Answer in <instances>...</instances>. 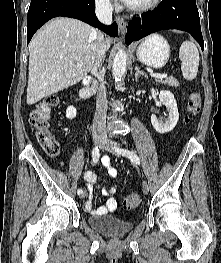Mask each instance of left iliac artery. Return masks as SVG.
I'll return each instance as SVG.
<instances>
[{
  "label": "left iliac artery",
  "instance_id": "1",
  "mask_svg": "<svg viewBox=\"0 0 221 263\" xmlns=\"http://www.w3.org/2000/svg\"><path fill=\"white\" fill-rule=\"evenodd\" d=\"M114 149L117 153L128 157L132 162H134L136 164H140L139 157L133 151H130L127 149H121V148H114Z\"/></svg>",
  "mask_w": 221,
  "mask_h": 263
}]
</instances>
